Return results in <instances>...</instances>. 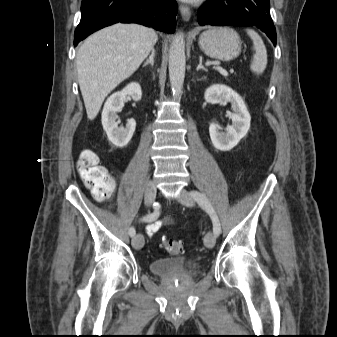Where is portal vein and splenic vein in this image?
I'll use <instances>...</instances> for the list:
<instances>
[{
	"label": "portal vein and splenic vein",
	"mask_w": 337,
	"mask_h": 337,
	"mask_svg": "<svg viewBox=\"0 0 337 337\" xmlns=\"http://www.w3.org/2000/svg\"><path fill=\"white\" fill-rule=\"evenodd\" d=\"M217 71H219V73H221L222 75L224 76H227L228 75V72L223 69L222 67H214Z\"/></svg>",
	"instance_id": "portal-vein-and-splenic-vein-1"
}]
</instances>
